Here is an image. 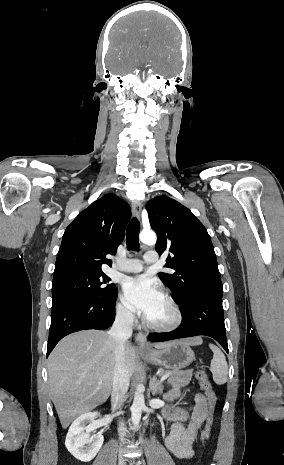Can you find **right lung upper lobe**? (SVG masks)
I'll list each match as a JSON object with an SVG mask.
<instances>
[{
	"instance_id": "obj_1",
	"label": "right lung upper lobe",
	"mask_w": 284,
	"mask_h": 465,
	"mask_svg": "<svg viewBox=\"0 0 284 465\" xmlns=\"http://www.w3.org/2000/svg\"><path fill=\"white\" fill-rule=\"evenodd\" d=\"M131 217L129 204L114 194L104 195L79 213L66 228L57 254L53 280L73 274L103 273L111 266Z\"/></svg>"
}]
</instances>
